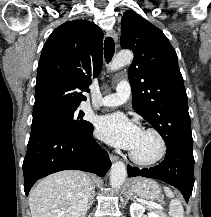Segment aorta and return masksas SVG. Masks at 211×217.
Listing matches in <instances>:
<instances>
[{
  "instance_id": "762f6f07",
  "label": "aorta",
  "mask_w": 211,
  "mask_h": 217,
  "mask_svg": "<svg viewBox=\"0 0 211 217\" xmlns=\"http://www.w3.org/2000/svg\"><path fill=\"white\" fill-rule=\"evenodd\" d=\"M133 59V54L130 51H121L112 60L109 69L116 71L121 67L130 64ZM127 176L126 166L122 161L115 162L110 171V185L114 189H118L124 183Z\"/></svg>"
}]
</instances>
